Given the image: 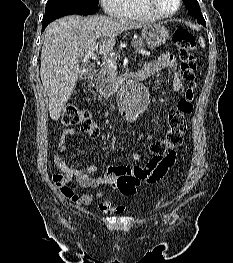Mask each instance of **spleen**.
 Returning a JSON list of instances; mask_svg holds the SVG:
<instances>
[{"label": "spleen", "mask_w": 233, "mask_h": 263, "mask_svg": "<svg viewBox=\"0 0 233 263\" xmlns=\"http://www.w3.org/2000/svg\"><path fill=\"white\" fill-rule=\"evenodd\" d=\"M199 42H200L201 47L204 48L205 47V42H204L202 37H200Z\"/></svg>", "instance_id": "obj_1"}]
</instances>
